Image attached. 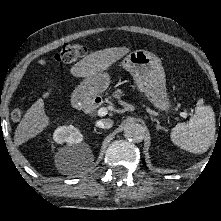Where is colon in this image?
<instances>
[{
    "label": "colon",
    "instance_id": "5ec220e1",
    "mask_svg": "<svg viewBox=\"0 0 221 221\" xmlns=\"http://www.w3.org/2000/svg\"><path fill=\"white\" fill-rule=\"evenodd\" d=\"M86 54V49L83 45L78 43L64 44L55 54L54 60L60 64H70L77 62ZM23 109L21 107H14L11 110V118L18 121L22 118Z\"/></svg>",
    "mask_w": 221,
    "mask_h": 221
}]
</instances>
